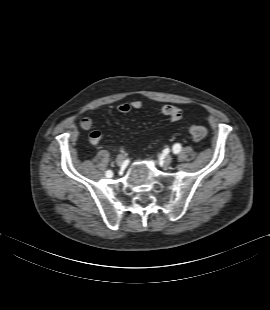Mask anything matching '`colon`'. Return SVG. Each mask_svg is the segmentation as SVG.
Returning a JSON list of instances; mask_svg holds the SVG:
<instances>
[{
	"mask_svg": "<svg viewBox=\"0 0 270 310\" xmlns=\"http://www.w3.org/2000/svg\"><path fill=\"white\" fill-rule=\"evenodd\" d=\"M189 133L195 141H201L206 137L207 129L204 125L192 123L189 126Z\"/></svg>",
	"mask_w": 270,
	"mask_h": 310,
	"instance_id": "colon-1",
	"label": "colon"
}]
</instances>
